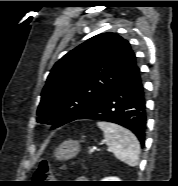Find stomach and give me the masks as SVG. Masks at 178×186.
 Masks as SVG:
<instances>
[{"mask_svg":"<svg viewBox=\"0 0 178 186\" xmlns=\"http://www.w3.org/2000/svg\"><path fill=\"white\" fill-rule=\"evenodd\" d=\"M80 151L78 141L67 140L61 143L54 152V157L57 160H68L75 157Z\"/></svg>","mask_w":178,"mask_h":186,"instance_id":"1","label":"stomach"}]
</instances>
